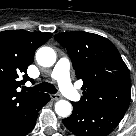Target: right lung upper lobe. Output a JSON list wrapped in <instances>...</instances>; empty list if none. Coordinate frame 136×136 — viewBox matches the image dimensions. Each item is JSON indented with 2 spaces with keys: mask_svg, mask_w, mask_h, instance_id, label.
I'll use <instances>...</instances> for the list:
<instances>
[{
  "mask_svg": "<svg viewBox=\"0 0 136 136\" xmlns=\"http://www.w3.org/2000/svg\"><path fill=\"white\" fill-rule=\"evenodd\" d=\"M51 36L25 30L0 32V131L20 122L43 94L18 92L17 88L29 80L27 67L34 61L35 50ZM20 75L23 80H19Z\"/></svg>",
  "mask_w": 136,
  "mask_h": 136,
  "instance_id": "1",
  "label": "right lung upper lobe"
}]
</instances>
